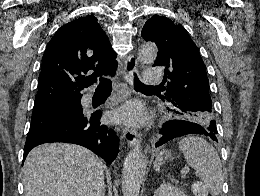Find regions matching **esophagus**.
<instances>
[{
    "mask_svg": "<svg viewBox=\"0 0 260 196\" xmlns=\"http://www.w3.org/2000/svg\"><path fill=\"white\" fill-rule=\"evenodd\" d=\"M137 73V59L135 55H128L124 60V77L129 84L133 83V76ZM123 137L131 146L138 145L141 135L133 128H124Z\"/></svg>",
    "mask_w": 260,
    "mask_h": 196,
    "instance_id": "esophagus-1",
    "label": "esophagus"
}]
</instances>
